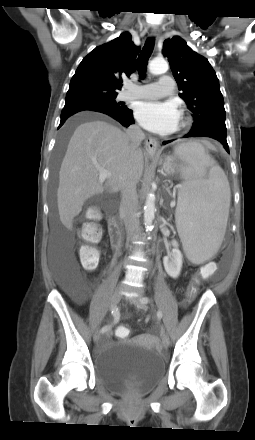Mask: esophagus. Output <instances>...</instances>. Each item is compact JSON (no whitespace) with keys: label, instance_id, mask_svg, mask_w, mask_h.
<instances>
[{"label":"esophagus","instance_id":"1","mask_svg":"<svg viewBox=\"0 0 255 440\" xmlns=\"http://www.w3.org/2000/svg\"><path fill=\"white\" fill-rule=\"evenodd\" d=\"M159 35H160V28L157 26L153 27L151 31V36L157 39ZM158 149H159L158 142L155 139L153 138L146 139L145 150L149 155L151 156L157 155Z\"/></svg>","mask_w":255,"mask_h":440}]
</instances>
